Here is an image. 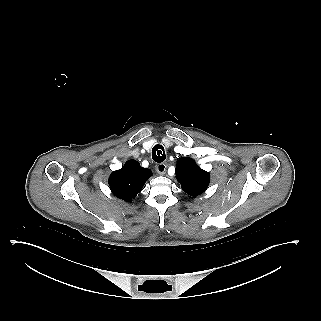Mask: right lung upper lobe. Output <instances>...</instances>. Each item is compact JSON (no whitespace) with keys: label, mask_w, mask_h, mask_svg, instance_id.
Listing matches in <instances>:
<instances>
[{"label":"right lung upper lobe","mask_w":321,"mask_h":321,"mask_svg":"<svg viewBox=\"0 0 321 321\" xmlns=\"http://www.w3.org/2000/svg\"><path fill=\"white\" fill-rule=\"evenodd\" d=\"M152 175L135 160H129L117 171L112 172L109 186L112 193L127 202L132 201L141 191L147 179Z\"/></svg>","instance_id":"cb5924a9"}]
</instances>
